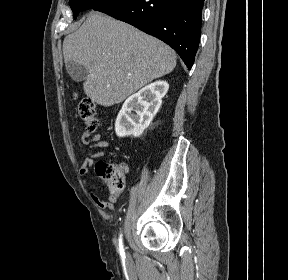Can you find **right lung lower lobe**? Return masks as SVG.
Returning <instances> with one entry per match:
<instances>
[{
  "instance_id": "1",
  "label": "right lung lower lobe",
  "mask_w": 288,
  "mask_h": 280,
  "mask_svg": "<svg viewBox=\"0 0 288 280\" xmlns=\"http://www.w3.org/2000/svg\"><path fill=\"white\" fill-rule=\"evenodd\" d=\"M204 0H112L93 8L170 45L191 69L201 33Z\"/></svg>"
}]
</instances>
